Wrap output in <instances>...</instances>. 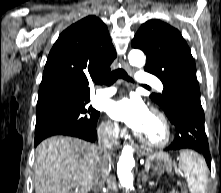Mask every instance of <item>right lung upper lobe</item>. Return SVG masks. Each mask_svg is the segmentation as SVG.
<instances>
[{
	"mask_svg": "<svg viewBox=\"0 0 221 193\" xmlns=\"http://www.w3.org/2000/svg\"><path fill=\"white\" fill-rule=\"evenodd\" d=\"M115 57L108 29L99 18L87 16L71 25L49 53L37 105L90 99L89 85L110 72Z\"/></svg>",
	"mask_w": 221,
	"mask_h": 193,
	"instance_id": "1",
	"label": "right lung upper lobe"
}]
</instances>
